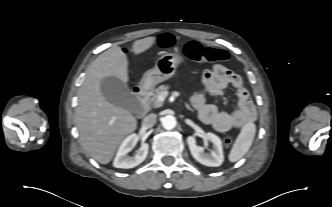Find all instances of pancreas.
Returning <instances> with one entry per match:
<instances>
[{
    "label": "pancreas",
    "mask_w": 332,
    "mask_h": 207,
    "mask_svg": "<svg viewBox=\"0 0 332 207\" xmlns=\"http://www.w3.org/2000/svg\"><path fill=\"white\" fill-rule=\"evenodd\" d=\"M169 89V85H160L158 88L154 89L151 98L148 100V105L158 108L162 106L163 102L159 101V97L163 95Z\"/></svg>",
    "instance_id": "cf45deb5"
}]
</instances>
